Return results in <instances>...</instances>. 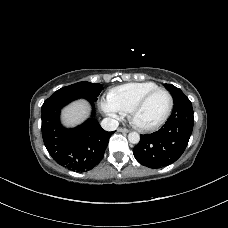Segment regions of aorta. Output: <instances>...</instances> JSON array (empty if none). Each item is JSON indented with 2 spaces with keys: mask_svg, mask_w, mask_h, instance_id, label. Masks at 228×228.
<instances>
[{
  "mask_svg": "<svg viewBox=\"0 0 228 228\" xmlns=\"http://www.w3.org/2000/svg\"><path fill=\"white\" fill-rule=\"evenodd\" d=\"M128 140L132 144H137L140 141V135L137 132H131L128 135Z\"/></svg>",
  "mask_w": 228,
  "mask_h": 228,
  "instance_id": "1",
  "label": "aorta"
}]
</instances>
